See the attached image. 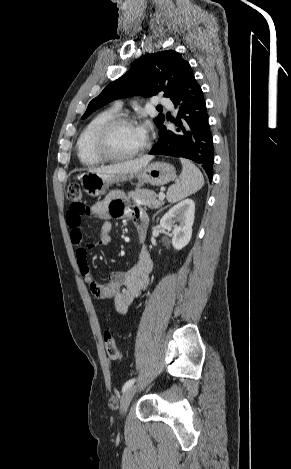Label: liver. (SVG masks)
Returning <instances> with one entry per match:
<instances>
[{
  "label": "liver",
  "mask_w": 291,
  "mask_h": 469,
  "mask_svg": "<svg viewBox=\"0 0 291 469\" xmlns=\"http://www.w3.org/2000/svg\"><path fill=\"white\" fill-rule=\"evenodd\" d=\"M152 159H153V156L145 155L141 158L125 161V162L110 165V166L92 168V169H89V172L98 173V174H128V173L133 174L141 170Z\"/></svg>",
  "instance_id": "liver-1"
}]
</instances>
